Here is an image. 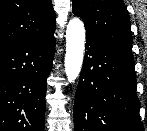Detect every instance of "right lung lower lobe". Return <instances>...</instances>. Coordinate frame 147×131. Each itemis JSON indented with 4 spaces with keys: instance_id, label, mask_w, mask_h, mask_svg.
Wrapping results in <instances>:
<instances>
[{
    "instance_id": "obj_1",
    "label": "right lung lower lobe",
    "mask_w": 147,
    "mask_h": 131,
    "mask_svg": "<svg viewBox=\"0 0 147 131\" xmlns=\"http://www.w3.org/2000/svg\"><path fill=\"white\" fill-rule=\"evenodd\" d=\"M54 32L0 53V131H44Z\"/></svg>"
}]
</instances>
